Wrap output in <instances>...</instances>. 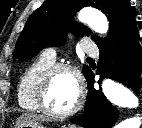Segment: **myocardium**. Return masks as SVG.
I'll list each match as a JSON object with an SVG mask.
<instances>
[{
    "label": "myocardium",
    "instance_id": "f54148a6",
    "mask_svg": "<svg viewBox=\"0 0 142 128\" xmlns=\"http://www.w3.org/2000/svg\"><path fill=\"white\" fill-rule=\"evenodd\" d=\"M62 71L69 72L73 75L77 85V99L73 104V106L68 110L55 111L48 106L47 94L53 77L57 73ZM84 101H85V85L81 77V74L79 73L76 67L68 63H57L52 65L44 72V74L40 79L37 89V102L40 110L43 111L45 114L55 118H65L76 113L82 107Z\"/></svg>",
    "mask_w": 142,
    "mask_h": 128
}]
</instances>
